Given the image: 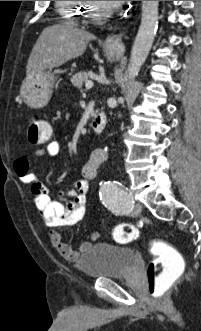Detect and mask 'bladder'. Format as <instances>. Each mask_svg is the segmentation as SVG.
<instances>
[{"mask_svg":"<svg viewBox=\"0 0 201 331\" xmlns=\"http://www.w3.org/2000/svg\"><path fill=\"white\" fill-rule=\"evenodd\" d=\"M135 251L113 243H96L75 262L76 269L91 279L125 276L135 260Z\"/></svg>","mask_w":201,"mask_h":331,"instance_id":"obj_1","label":"bladder"}]
</instances>
